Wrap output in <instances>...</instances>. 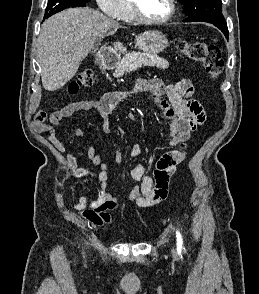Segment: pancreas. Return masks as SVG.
I'll return each mask as SVG.
<instances>
[{"mask_svg":"<svg viewBox=\"0 0 259 294\" xmlns=\"http://www.w3.org/2000/svg\"><path fill=\"white\" fill-rule=\"evenodd\" d=\"M142 66L157 67L160 69H167L169 62L156 54L131 52L123 57L118 63L114 76L121 77L125 73L134 71Z\"/></svg>","mask_w":259,"mask_h":294,"instance_id":"pancreas-1","label":"pancreas"}]
</instances>
